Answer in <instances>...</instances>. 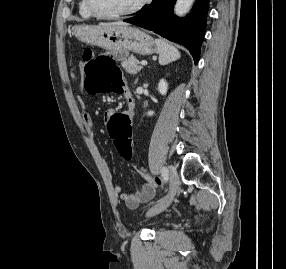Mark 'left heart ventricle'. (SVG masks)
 Segmentation results:
<instances>
[{"mask_svg":"<svg viewBox=\"0 0 286 269\" xmlns=\"http://www.w3.org/2000/svg\"><path fill=\"white\" fill-rule=\"evenodd\" d=\"M141 0H92L93 7L102 14H115L133 8Z\"/></svg>","mask_w":286,"mask_h":269,"instance_id":"1","label":"left heart ventricle"}]
</instances>
